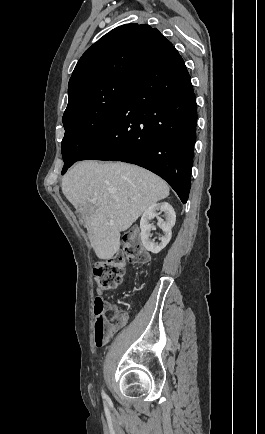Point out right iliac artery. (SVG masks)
<instances>
[{
  "instance_id": "right-iliac-artery-1",
  "label": "right iliac artery",
  "mask_w": 265,
  "mask_h": 434,
  "mask_svg": "<svg viewBox=\"0 0 265 434\" xmlns=\"http://www.w3.org/2000/svg\"><path fill=\"white\" fill-rule=\"evenodd\" d=\"M102 397H103L104 399H106L107 401L110 400L109 397L104 393V391H102Z\"/></svg>"
}]
</instances>
